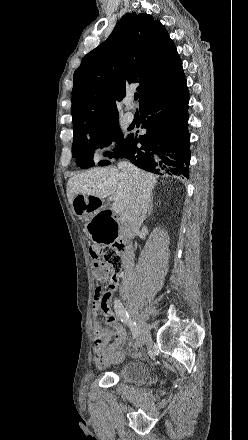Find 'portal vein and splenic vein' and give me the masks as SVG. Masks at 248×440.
<instances>
[{
	"label": "portal vein and splenic vein",
	"mask_w": 248,
	"mask_h": 440,
	"mask_svg": "<svg viewBox=\"0 0 248 440\" xmlns=\"http://www.w3.org/2000/svg\"><path fill=\"white\" fill-rule=\"evenodd\" d=\"M112 210L115 212H121V211H123V207L120 203L114 202L112 204Z\"/></svg>",
	"instance_id": "18ae733b"
}]
</instances>
